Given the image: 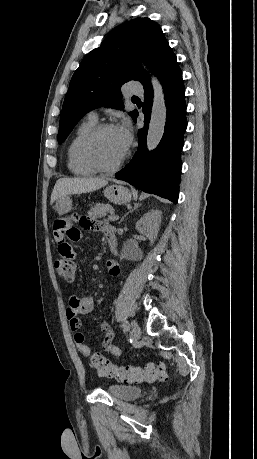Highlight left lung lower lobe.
<instances>
[{"mask_svg":"<svg viewBox=\"0 0 257 459\" xmlns=\"http://www.w3.org/2000/svg\"><path fill=\"white\" fill-rule=\"evenodd\" d=\"M163 85L167 108L165 130L158 147L148 152L146 136L153 103V90L148 80L144 86V127L138 131V149L133 159L115 177L135 188L177 203L181 172L180 153L186 123L185 89L176 56L170 52L155 72ZM138 112L133 120L136 122Z\"/></svg>","mask_w":257,"mask_h":459,"instance_id":"1","label":"left lung lower lobe"}]
</instances>
